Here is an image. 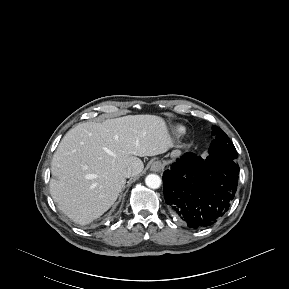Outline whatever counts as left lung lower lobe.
<instances>
[{
    "mask_svg": "<svg viewBox=\"0 0 289 289\" xmlns=\"http://www.w3.org/2000/svg\"><path fill=\"white\" fill-rule=\"evenodd\" d=\"M238 174L235 160L218 162L186 153L163 174L166 204L188 227L210 226L228 211Z\"/></svg>",
    "mask_w": 289,
    "mask_h": 289,
    "instance_id": "obj_1",
    "label": "left lung lower lobe"
}]
</instances>
